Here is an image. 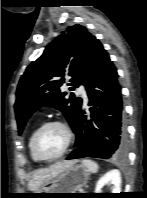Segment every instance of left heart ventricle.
Instances as JSON below:
<instances>
[{
  "label": "left heart ventricle",
  "mask_w": 147,
  "mask_h": 198,
  "mask_svg": "<svg viewBox=\"0 0 147 198\" xmlns=\"http://www.w3.org/2000/svg\"><path fill=\"white\" fill-rule=\"evenodd\" d=\"M66 135L59 126H50L43 130L37 139V149L42 156L51 157L64 147Z\"/></svg>",
  "instance_id": "obj_1"
}]
</instances>
